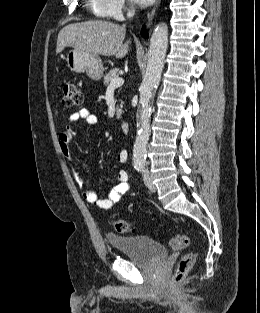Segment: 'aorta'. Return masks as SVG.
<instances>
[{"instance_id": "762f6f07", "label": "aorta", "mask_w": 260, "mask_h": 313, "mask_svg": "<svg viewBox=\"0 0 260 313\" xmlns=\"http://www.w3.org/2000/svg\"><path fill=\"white\" fill-rule=\"evenodd\" d=\"M167 45L168 27L166 24L161 23L152 33L146 72L139 88L138 130L133 147V163L135 165H142L146 160L150 135L151 100L161 78Z\"/></svg>"}]
</instances>
